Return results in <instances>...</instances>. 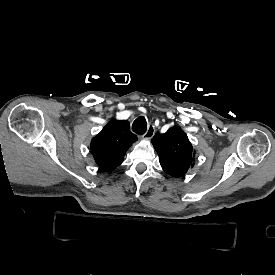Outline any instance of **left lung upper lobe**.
Here are the masks:
<instances>
[{"mask_svg": "<svg viewBox=\"0 0 275 275\" xmlns=\"http://www.w3.org/2000/svg\"><path fill=\"white\" fill-rule=\"evenodd\" d=\"M159 162L163 170L170 176L181 177L186 174L192 164L194 151L187 134L179 127H171L165 133H157L152 138Z\"/></svg>", "mask_w": 275, "mask_h": 275, "instance_id": "5c2ea615", "label": "left lung upper lobe"}]
</instances>
